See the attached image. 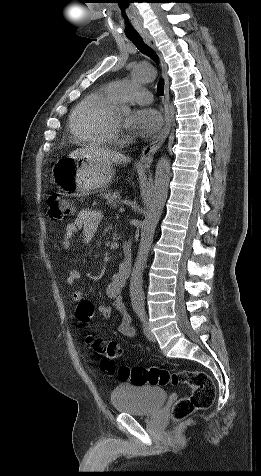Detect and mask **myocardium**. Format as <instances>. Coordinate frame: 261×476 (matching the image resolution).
<instances>
[{
    "label": "myocardium",
    "instance_id": "myocardium-1",
    "mask_svg": "<svg viewBox=\"0 0 261 476\" xmlns=\"http://www.w3.org/2000/svg\"><path fill=\"white\" fill-rule=\"evenodd\" d=\"M112 125L114 126V128H119L120 125L117 124L113 119H112Z\"/></svg>",
    "mask_w": 261,
    "mask_h": 476
}]
</instances>
